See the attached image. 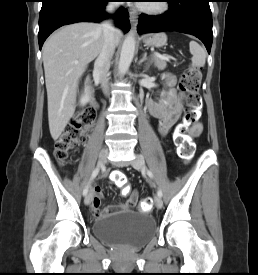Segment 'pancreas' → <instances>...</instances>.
<instances>
[{"mask_svg": "<svg viewBox=\"0 0 258 275\" xmlns=\"http://www.w3.org/2000/svg\"><path fill=\"white\" fill-rule=\"evenodd\" d=\"M152 61L159 70H164L167 66L166 60H162L157 56H153Z\"/></svg>", "mask_w": 258, "mask_h": 275, "instance_id": "1", "label": "pancreas"}]
</instances>
